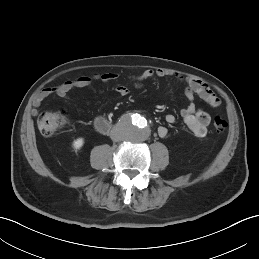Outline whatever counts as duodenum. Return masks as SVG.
<instances>
[{"instance_id":"duodenum-1","label":"duodenum","mask_w":259,"mask_h":259,"mask_svg":"<svg viewBox=\"0 0 259 259\" xmlns=\"http://www.w3.org/2000/svg\"><path fill=\"white\" fill-rule=\"evenodd\" d=\"M110 127L111 125L107 120L99 119L95 122V129L100 133H107Z\"/></svg>"}]
</instances>
